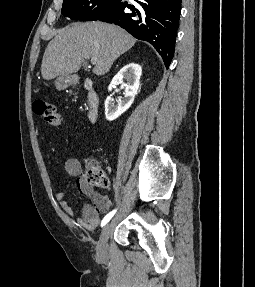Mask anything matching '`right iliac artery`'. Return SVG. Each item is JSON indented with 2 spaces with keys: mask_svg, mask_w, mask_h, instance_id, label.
<instances>
[{
  "mask_svg": "<svg viewBox=\"0 0 255 287\" xmlns=\"http://www.w3.org/2000/svg\"><path fill=\"white\" fill-rule=\"evenodd\" d=\"M116 210H113L112 212H110L109 214H107L104 219L101 222V226H104L107 222H109V220L113 217V215L115 214Z\"/></svg>",
  "mask_w": 255,
  "mask_h": 287,
  "instance_id": "obj_1",
  "label": "right iliac artery"
}]
</instances>
